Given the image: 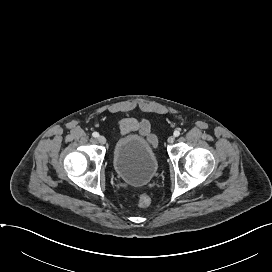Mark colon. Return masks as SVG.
Listing matches in <instances>:
<instances>
[{"instance_id": "colon-1", "label": "colon", "mask_w": 272, "mask_h": 272, "mask_svg": "<svg viewBox=\"0 0 272 272\" xmlns=\"http://www.w3.org/2000/svg\"><path fill=\"white\" fill-rule=\"evenodd\" d=\"M137 204L139 207L145 208L150 205V198L146 194H141L137 199Z\"/></svg>"}]
</instances>
